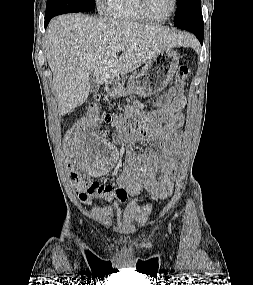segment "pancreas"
I'll list each match as a JSON object with an SVG mask.
<instances>
[{"label":"pancreas","mask_w":253,"mask_h":285,"mask_svg":"<svg viewBox=\"0 0 253 285\" xmlns=\"http://www.w3.org/2000/svg\"><path fill=\"white\" fill-rule=\"evenodd\" d=\"M122 85H124V81H122Z\"/></svg>","instance_id":"cf45deb5"}]
</instances>
